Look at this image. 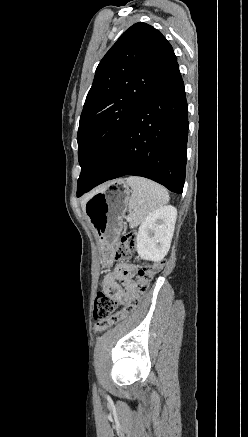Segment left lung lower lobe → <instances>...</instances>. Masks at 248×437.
I'll list each match as a JSON object with an SVG mask.
<instances>
[{"mask_svg": "<svg viewBox=\"0 0 248 437\" xmlns=\"http://www.w3.org/2000/svg\"><path fill=\"white\" fill-rule=\"evenodd\" d=\"M188 127L184 83L176 62L131 116L117 148L87 191L107 180L136 175L181 194Z\"/></svg>", "mask_w": 248, "mask_h": 437, "instance_id": "0a47b994", "label": "left lung lower lobe"}]
</instances>
